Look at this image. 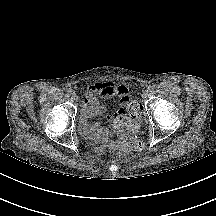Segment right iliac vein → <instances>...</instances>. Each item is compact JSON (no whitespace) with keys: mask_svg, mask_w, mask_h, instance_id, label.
<instances>
[{"mask_svg":"<svg viewBox=\"0 0 216 216\" xmlns=\"http://www.w3.org/2000/svg\"><path fill=\"white\" fill-rule=\"evenodd\" d=\"M71 98H72L74 101H77V100H78V95H77L75 92H72V93H71Z\"/></svg>","mask_w":216,"mask_h":216,"instance_id":"1","label":"right iliac vein"}]
</instances>
